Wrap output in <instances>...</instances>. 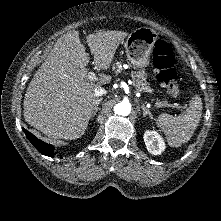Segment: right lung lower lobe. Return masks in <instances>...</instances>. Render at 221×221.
Segmentation results:
<instances>
[{
	"label": "right lung lower lobe",
	"instance_id": "obj_1",
	"mask_svg": "<svg viewBox=\"0 0 221 221\" xmlns=\"http://www.w3.org/2000/svg\"><path fill=\"white\" fill-rule=\"evenodd\" d=\"M23 131L29 141L33 144V146L43 155L54 157V150L55 148L48 143L41 141L40 139L36 138L32 133L28 132L26 129L23 128Z\"/></svg>",
	"mask_w": 221,
	"mask_h": 221
}]
</instances>
